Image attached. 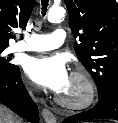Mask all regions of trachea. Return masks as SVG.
I'll list each match as a JSON object with an SVG mask.
<instances>
[{"label": "trachea", "instance_id": "obj_1", "mask_svg": "<svg viewBox=\"0 0 118 123\" xmlns=\"http://www.w3.org/2000/svg\"><path fill=\"white\" fill-rule=\"evenodd\" d=\"M49 0H42V15L44 16L47 12V7H48Z\"/></svg>", "mask_w": 118, "mask_h": 123}]
</instances>
